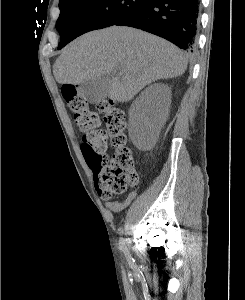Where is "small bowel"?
I'll return each instance as SVG.
<instances>
[{
  "label": "small bowel",
  "mask_w": 245,
  "mask_h": 300,
  "mask_svg": "<svg viewBox=\"0 0 245 300\" xmlns=\"http://www.w3.org/2000/svg\"><path fill=\"white\" fill-rule=\"evenodd\" d=\"M136 195V191H131L127 194L123 201H109L106 203V205L112 211L119 212L126 208L133 201Z\"/></svg>",
  "instance_id": "small-bowel-1"
}]
</instances>
